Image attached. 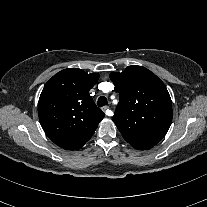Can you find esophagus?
Here are the masks:
<instances>
[{
  "label": "esophagus",
  "instance_id": "obj_1",
  "mask_svg": "<svg viewBox=\"0 0 207 207\" xmlns=\"http://www.w3.org/2000/svg\"><path fill=\"white\" fill-rule=\"evenodd\" d=\"M102 110H103V112H105V114L107 115V116H111V111L109 110V107L108 106H103L102 107Z\"/></svg>",
  "mask_w": 207,
  "mask_h": 207
}]
</instances>
